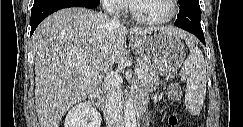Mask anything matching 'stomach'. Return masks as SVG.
<instances>
[{"mask_svg": "<svg viewBox=\"0 0 243 127\" xmlns=\"http://www.w3.org/2000/svg\"><path fill=\"white\" fill-rule=\"evenodd\" d=\"M130 41L140 58L159 75L175 72L186 57L180 38L159 28L141 36H132Z\"/></svg>", "mask_w": 243, "mask_h": 127, "instance_id": "1", "label": "stomach"}]
</instances>
